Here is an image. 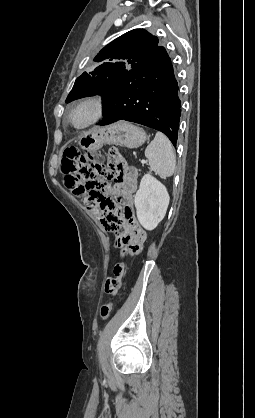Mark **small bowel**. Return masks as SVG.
I'll return each instance as SVG.
<instances>
[{
  "instance_id": "c3829d8e",
  "label": "small bowel",
  "mask_w": 255,
  "mask_h": 418,
  "mask_svg": "<svg viewBox=\"0 0 255 418\" xmlns=\"http://www.w3.org/2000/svg\"><path fill=\"white\" fill-rule=\"evenodd\" d=\"M108 163H115L117 173L114 176V185L109 188V193L119 202L120 207L117 212L118 218L124 220L133 217V194L137 188V171L126 165L125 156L121 153L120 147H109L107 153ZM105 230L118 237L119 242L115 243L117 255H126L128 260L133 256H141L142 249L145 247L144 228H112L108 221H99ZM125 266L119 261L114 266L113 274L107 275L104 285V294L111 300L118 298L120 280L124 278Z\"/></svg>"
}]
</instances>
